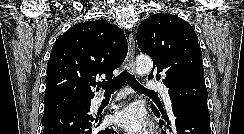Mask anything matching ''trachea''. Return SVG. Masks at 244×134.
Returning a JSON list of instances; mask_svg holds the SVG:
<instances>
[{"mask_svg":"<svg viewBox=\"0 0 244 134\" xmlns=\"http://www.w3.org/2000/svg\"><path fill=\"white\" fill-rule=\"evenodd\" d=\"M135 91L139 93H143L149 96H157L158 94L146 89L144 86H142L135 78L134 75L127 72V70H124L119 76H117L115 79L102 83L100 86L102 89L105 90L106 94L114 93L115 91L119 90L123 87V85L126 83Z\"/></svg>","mask_w":244,"mask_h":134,"instance_id":"obj_1","label":"trachea"}]
</instances>
